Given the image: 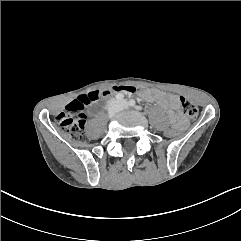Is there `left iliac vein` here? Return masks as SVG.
<instances>
[{"instance_id": "obj_1", "label": "left iliac vein", "mask_w": 241, "mask_h": 241, "mask_svg": "<svg viewBox=\"0 0 241 241\" xmlns=\"http://www.w3.org/2000/svg\"><path fill=\"white\" fill-rule=\"evenodd\" d=\"M121 106H122L123 108H127V107H128V103H127L126 101H122V102H121Z\"/></svg>"}]
</instances>
